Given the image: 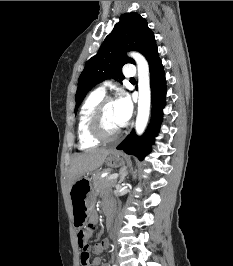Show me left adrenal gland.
I'll return each mask as SVG.
<instances>
[{
    "instance_id": "a2214340",
    "label": "left adrenal gland",
    "mask_w": 233,
    "mask_h": 266,
    "mask_svg": "<svg viewBox=\"0 0 233 266\" xmlns=\"http://www.w3.org/2000/svg\"><path fill=\"white\" fill-rule=\"evenodd\" d=\"M126 175H127V170L126 169H123L120 172V180H119V183H122L124 181Z\"/></svg>"
}]
</instances>
